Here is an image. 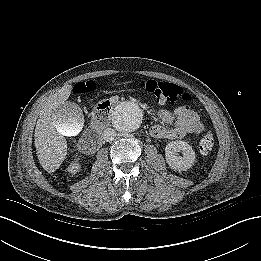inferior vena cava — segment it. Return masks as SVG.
Wrapping results in <instances>:
<instances>
[{"instance_id": "602c4592", "label": "inferior vena cava", "mask_w": 261, "mask_h": 261, "mask_svg": "<svg viewBox=\"0 0 261 261\" xmlns=\"http://www.w3.org/2000/svg\"><path fill=\"white\" fill-rule=\"evenodd\" d=\"M116 136V131L112 128H107L103 131V139L105 141H112Z\"/></svg>"}]
</instances>
